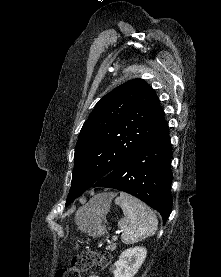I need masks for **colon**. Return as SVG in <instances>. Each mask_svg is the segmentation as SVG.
Masks as SVG:
<instances>
[{"label":"colon","instance_id":"1","mask_svg":"<svg viewBox=\"0 0 221 277\" xmlns=\"http://www.w3.org/2000/svg\"><path fill=\"white\" fill-rule=\"evenodd\" d=\"M110 263V256L103 251H87L75 256L71 263L59 269L55 277H81L82 273L92 267L104 269Z\"/></svg>","mask_w":221,"mask_h":277}]
</instances>
